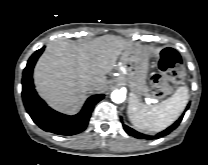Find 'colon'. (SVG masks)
I'll return each instance as SVG.
<instances>
[{"label":"colon","instance_id":"5ec220e1","mask_svg":"<svg viewBox=\"0 0 208 165\" xmlns=\"http://www.w3.org/2000/svg\"><path fill=\"white\" fill-rule=\"evenodd\" d=\"M158 67L159 73L152 78V93L156 97H163L182 75L181 56L175 49L167 47L160 54Z\"/></svg>","mask_w":208,"mask_h":165}]
</instances>
